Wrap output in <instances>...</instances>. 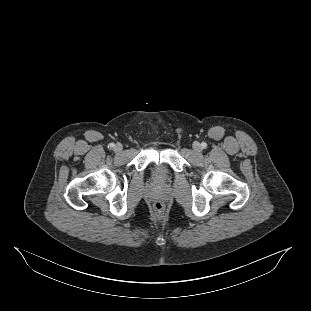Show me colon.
I'll return each instance as SVG.
<instances>
[{"mask_svg":"<svg viewBox=\"0 0 311 311\" xmlns=\"http://www.w3.org/2000/svg\"><path fill=\"white\" fill-rule=\"evenodd\" d=\"M156 211L160 212L163 209V206L160 203H156L154 205Z\"/></svg>","mask_w":311,"mask_h":311,"instance_id":"1","label":"colon"}]
</instances>
